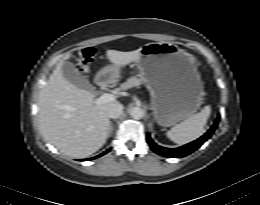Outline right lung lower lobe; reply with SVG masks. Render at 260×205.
Here are the masks:
<instances>
[{"label": "right lung lower lobe", "instance_id": "1", "mask_svg": "<svg viewBox=\"0 0 260 205\" xmlns=\"http://www.w3.org/2000/svg\"><path fill=\"white\" fill-rule=\"evenodd\" d=\"M110 150L108 149L106 152H104V153H102V154H100V155H98V156H96V157H93V158H90V159H84V160H91V159H95V158H97V157H100V156H102V155H104V154H106L107 152H109Z\"/></svg>", "mask_w": 260, "mask_h": 205}]
</instances>
